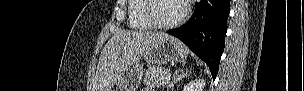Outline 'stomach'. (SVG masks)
<instances>
[{"mask_svg": "<svg viewBox=\"0 0 304 91\" xmlns=\"http://www.w3.org/2000/svg\"><path fill=\"white\" fill-rule=\"evenodd\" d=\"M188 50L185 45L174 37H166L155 43L149 50L145 59L155 65L167 62H184ZM143 76V67L139 61H134L122 70L117 79L119 91H136Z\"/></svg>", "mask_w": 304, "mask_h": 91, "instance_id": "0dacf381", "label": "stomach"}]
</instances>
